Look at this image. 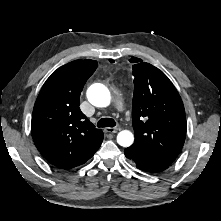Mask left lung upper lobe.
I'll list each match as a JSON object with an SVG mask.
<instances>
[{
  "instance_id": "1",
  "label": "left lung upper lobe",
  "mask_w": 221,
  "mask_h": 221,
  "mask_svg": "<svg viewBox=\"0 0 221 221\" xmlns=\"http://www.w3.org/2000/svg\"><path fill=\"white\" fill-rule=\"evenodd\" d=\"M132 69L135 141L131 147L172 164L186 136L181 97L169 78L158 68L141 62L133 65Z\"/></svg>"
}]
</instances>
